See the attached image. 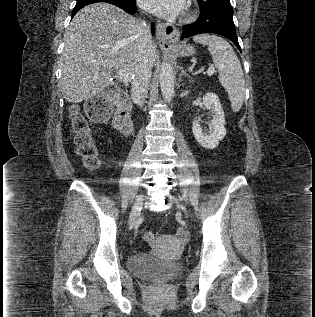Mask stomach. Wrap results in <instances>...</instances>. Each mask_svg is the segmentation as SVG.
<instances>
[{"label":"stomach","mask_w":315,"mask_h":317,"mask_svg":"<svg viewBox=\"0 0 315 317\" xmlns=\"http://www.w3.org/2000/svg\"><path fill=\"white\" fill-rule=\"evenodd\" d=\"M179 55L182 57L192 56L195 53V48L192 45H182L178 49Z\"/></svg>","instance_id":"0dacf381"}]
</instances>
